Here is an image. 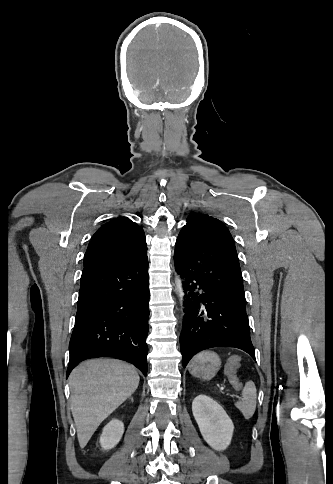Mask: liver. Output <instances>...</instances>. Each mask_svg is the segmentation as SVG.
Segmentation results:
<instances>
[{
    "mask_svg": "<svg viewBox=\"0 0 333 484\" xmlns=\"http://www.w3.org/2000/svg\"><path fill=\"white\" fill-rule=\"evenodd\" d=\"M139 380L133 366L112 359L88 360L71 372V411L81 448L101 422L136 391Z\"/></svg>",
    "mask_w": 333,
    "mask_h": 484,
    "instance_id": "1",
    "label": "liver"
}]
</instances>
